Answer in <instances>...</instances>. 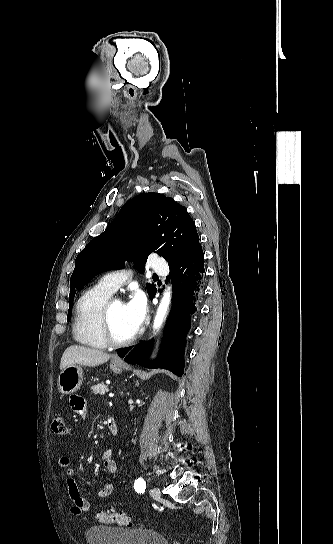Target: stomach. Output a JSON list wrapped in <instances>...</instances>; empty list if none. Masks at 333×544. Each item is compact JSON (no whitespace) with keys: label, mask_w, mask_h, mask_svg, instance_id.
Segmentation results:
<instances>
[{"label":"stomach","mask_w":333,"mask_h":544,"mask_svg":"<svg viewBox=\"0 0 333 544\" xmlns=\"http://www.w3.org/2000/svg\"><path fill=\"white\" fill-rule=\"evenodd\" d=\"M124 365L111 364V369L115 373H121ZM83 370L78 364L65 367L58 376L59 390L64 394H71L77 391L82 385Z\"/></svg>","instance_id":"1"}]
</instances>
